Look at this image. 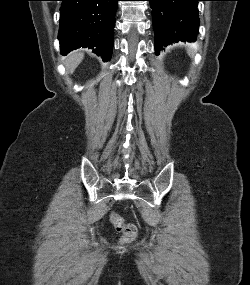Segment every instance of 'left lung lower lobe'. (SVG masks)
<instances>
[{
    "instance_id": "left-lung-lower-lobe-1",
    "label": "left lung lower lobe",
    "mask_w": 250,
    "mask_h": 285,
    "mask_svg": "<svg viewBox=\"0 0 250 285\" xmlns=\"http://www.w3.org/2000/svg\"><path fill=\"white\" fill-rule=\"evenodd\" d=\"M152 8L156 54L163 46L178 42H194L199 27L198 1L148 0Z\"/></svg>"
}]
</instances>
